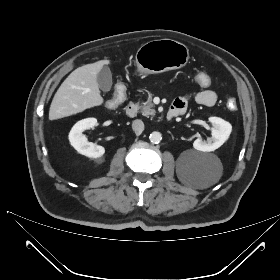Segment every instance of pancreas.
<instances>
[{
    "mask_svg": "<svg viewBox=\"0 0 280 280\" xmlns=\"http://www.w3.org/2000/svg\"><path fill=\"white\" fill-rule=\"evenodd\" d=\"M153 95L149 94L147 101L142 102V105L140 106V111L143 116L145 117H150V116H155L156 111L154 109V104L152 102Z\"/></svg>",
    "mask_w": 280,
    "mask_h": 280,
    "instance_id": "1",
    "label": "pancreas"
}]
</instances>
